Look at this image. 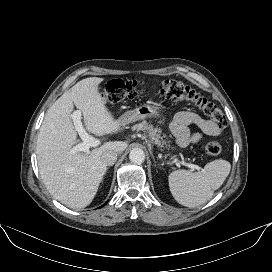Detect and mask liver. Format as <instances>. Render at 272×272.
<instances>
[{"mask_svg":"<svg viewBox=\"0 0 272 272\" xmlns=\"http://www.w3.org/2000/svg\"><path fill=\"white\" fill-rule=\"evenodd\" d=\"M103 78L90 77L77 82L48 109L37 138L40 176L53 197L73 209H82L94 199L107 170L101 156L105 151L123 152L127 143L106 142L88 153L71 154L77 142L72 123L74 106L83 114L88 132L96 135L118 133L120 123L114 119L99 93Z\"/></svg>","mask_w":272,"mask_h":272,"instance_id":"liver-1","label":"liver"}]
</instances>
